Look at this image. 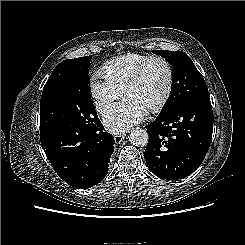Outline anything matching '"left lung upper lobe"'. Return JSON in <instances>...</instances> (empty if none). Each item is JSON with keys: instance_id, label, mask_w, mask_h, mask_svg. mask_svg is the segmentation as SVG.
Returning <instances> with one entry per match:
<instances>
[{"instance_id": "1", "label": "left lung upper lobe", "mask_w": 245, "mask_h": 245, "mask_svg": "<svg viewBox=\"0 0 245 245\" xmlns=\"http://www.w3.org/2000/svg\"><path fill=\"white\" fill-rule=\"evenodd\" d=\"M154 54L165 58L172 66V89L169 99L159 115L166 116L189 99L208 95L204 78L190 57L182 51L154 50Z\"/></svg>"}]
</instances>
